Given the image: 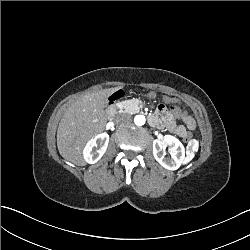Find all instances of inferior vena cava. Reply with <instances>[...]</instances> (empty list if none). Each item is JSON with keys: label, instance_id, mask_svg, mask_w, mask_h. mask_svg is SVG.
<instances>
[{"label": "inferior vena cava", "instance_id": "inferior-vena-cava-1", "mask_svg": "<svg viewBox=\"0 0 250 250\" xmlns=\"http://www.w3.org/2000/svg\"><path fill=\"white\" fill-rule=\"evenodd\" d=\"M116 121L121 124H128L132 122L131 114H128V113L119 114L117 115Z\"/></svg>", "mask_w": 250, "mask_h": 250}]
</instances>
